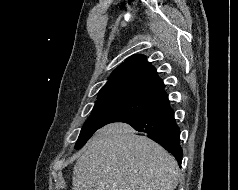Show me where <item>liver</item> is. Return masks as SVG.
I'll use <instances>...</instances> for the list:
<instances>
[{
    "label": "liver",
    "instance_id": "6515ba94",
    "mask_svg": "<svg viewBox=\"0 0 238 190\" xmlns=\"http://www.w3.org/2000/svg\"><path fill=\"white\" fill-rule=\"evenodd\" d=\"M176 160L159 144L135 134L126 123L99 129L73 170V190H174Z\"/></svg>",
    "mask_w": 238,
    "mask_h": 190
}]
</instances>
